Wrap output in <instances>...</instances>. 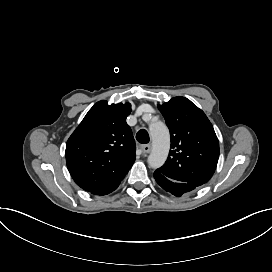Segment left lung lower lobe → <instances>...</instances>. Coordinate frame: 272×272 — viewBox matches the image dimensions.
<instances>
[{"instance_id": "0a47b994", "label": "left lung lower lobe", "mask_w": 272, "mask_h": 272, "mask_svg": "<svg viewBox=\"0 0 272 272\" xmlns=\"http://www.w3.org/2000/svg\"><path fill=\"white\" fill-rule=\"evenodd\" d=\"M154 178L156 182L167 192L173 194L176 197H180L185 193L195 190L197 187L188 183L172 180L157 170L154 172Z\"/></svg>"}]
</instances>
